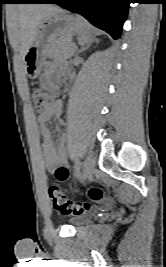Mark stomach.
Wrapping results in <instances>:
<instances>
[{"instance_id":"0dacf381","label":"stomach","mask_w":166,"mask_h":267,"mask_svg":"<svg viewBox=\"0 0 166 267\" xmlns=\"http://www.w3.org/2000/svg\"><path fill=\"white\" fill-rule=\"evenodd\" d=\"M83 20L64 10L57 11L44 18L36 37L24 56V69L30 79H36L43 68L51 44L58 37H68L79 31Z\"/></svg>"}]
</instances>
